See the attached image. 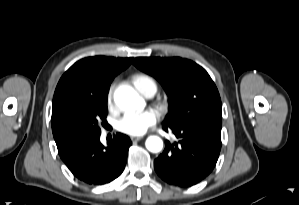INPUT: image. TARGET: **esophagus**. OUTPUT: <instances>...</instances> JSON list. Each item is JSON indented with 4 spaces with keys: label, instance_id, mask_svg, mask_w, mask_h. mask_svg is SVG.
Returning a JSON list of instances; mask_svg holds the SVG:
<instances>
[{
    "label": "esophagus",
    "instance_id": "1",
    "mask_svg": "<svg viewBox=\"0 0 299 205\" xmlns=\"http://www.w3.org/2000/svg\"><path fill=\"white\" fill-rule=\"evenodd\" d=\"M143 137L141 136H131L130 139L133 141V142H136V141H139L141 140Z\"/></svg>",
    "mask_w": 299,
    "mask_h": 205
}]
</instances>
